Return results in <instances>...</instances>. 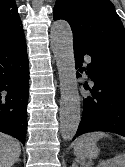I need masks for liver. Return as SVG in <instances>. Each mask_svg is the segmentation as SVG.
I'll return each instance as SVG.
<instances>
[{
    "instance_id": "obj_1",
    "label": "liver",
    "mask_w": 125,
    "mask_h": 167,
    "mask_svg": "<svg viewBox=\"0 0 125 167\" xmlns=\"http://www.w3.org/2000/svg\"><path fill=\"white\" fill-rule=\"evenodd\" d=\"M20 153L18 140L0 133V167H12L19 159Z\"/></svg>"
}]
</instances>
